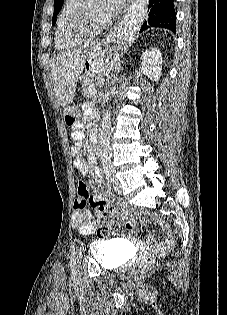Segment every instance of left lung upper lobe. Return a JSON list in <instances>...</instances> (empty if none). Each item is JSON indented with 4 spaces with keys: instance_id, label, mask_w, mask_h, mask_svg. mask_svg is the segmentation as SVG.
Segmentation results:
<instances>
[{
    "instance_id": "1",
    "label": "left lung upper lobe",
    "mask_w": 227,
    "mask_h": 315,
    "mask_svg": "<svg viewBox=\"0 0 227 315\" xmlns=\"http://www.w3.org/2000/svg\"><path fill=\"white\" fill-rule=\"evenodd\" d=\"M63 1L64 0H54V13H53V25L56 22V16L59 13V11L61 10V7L63 5Z\"/></svg>"
}]
</instances>
